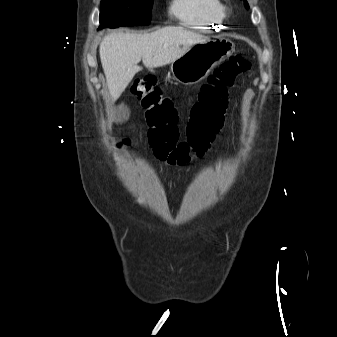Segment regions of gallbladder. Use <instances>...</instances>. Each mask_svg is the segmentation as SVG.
Masks as SVG:
<instances>
[{
	"mask_svg": "<svg viewBox=\"0 0 337 337\" xmlns=\"http://www.w3.org/2000/svg\"><path fill=\"white\" fill-rule=\"evenodd\" d=\"M117 121H123L128 117V110L123 105L119 106L116 111Z\"/></svg>",
	"mask_w": 337,
	"mask_h": 337,
	"instance_id": "1",
	"label": "gallbladder"
}]
</instances>
